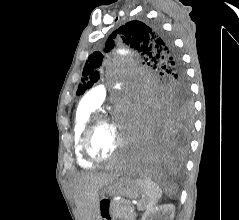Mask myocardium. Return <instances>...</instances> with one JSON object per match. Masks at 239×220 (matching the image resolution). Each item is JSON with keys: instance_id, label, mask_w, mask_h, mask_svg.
I'll use <instances>...</instances> for the list:
<instances>
[{"instance_id": "myocardium-1", "label": "myocardium", "mask_w": 239, "mask_h": 220, "mask_svg": "<svg viewBox=\"0 0 239 220\" xmlns=\"http://www.w3.org/2000/svg\"><path fill=\"white\" fill-rule=\"evenodd\" d=\"M101 122H111V118L105 114L100 113L91 115L81 135L82 153L86 159L95 163L107 162L114 159L125 145L124 138L121 136L116 148L109 155H95L91 148V139L94 129Z\"/></svg>"}]
</instances>
